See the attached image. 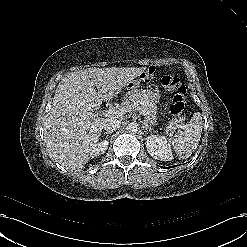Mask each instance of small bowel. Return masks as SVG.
Masks as SVG:
<instances>
[{
    "instance_id": "obj_1",
    "label": "small bowel",
    "mask_w": 247,
    "mask_h": 247,
    "mask_svg": "<svg viewBox=\"0 0 247 247\" xmlns=\"http://www.w3.org/2000/svg\"><path fill=\"white\" fill-rule=\"evenodd\" d=\"M153 76H154V69L151 67L143 74V81L144 82L151 81L153 79Z\"/></svg>"
}]
</instances>
